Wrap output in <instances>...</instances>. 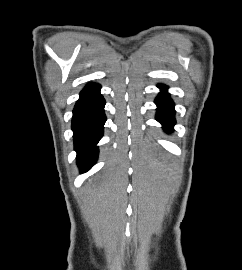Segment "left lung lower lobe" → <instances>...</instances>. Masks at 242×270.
I'll use <instances>...</instances> for the list:
<instances>
[{
    "instance_id": "1",
    "label": "left lung lower lobe",
    "mask_w": 242,
    "mask_h": 270,
    "mask_svg": "<svg viewBox=\"0 0 242 270\" xmlns=\"http://www.w3.org/2000/svg\"><path fill=\"white\" fill-rule=\"evenodd\" d=\"M159 87L162 89V92L155 100L158 106L156 119L163 124L165 130L171 131L172 126L175 124L174 103L165 92L166 87L162 85Z\"/></svg>"
}]
</instances>
